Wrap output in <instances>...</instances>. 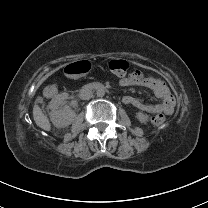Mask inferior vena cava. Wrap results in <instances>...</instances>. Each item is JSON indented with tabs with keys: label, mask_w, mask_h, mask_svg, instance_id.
<instances>
[{
	"label": "inferior vena cava",
	"mask_w": 208,
	"mask_h": 208,
	"mask_svg": "<svg viewBox=\"0 0 208 208\" xmlns=\"http://www.w3.org/2000/svg\"><path fill=\"white\" fill-rule=\"evenodd\" d=\"M92 96H93L92 90H90L89 88L83 87V88L80 90L79 97H80L82 100H89V99L92 98Z\"/></svg>",
	"instance_id": "1"
}]
</instances>
